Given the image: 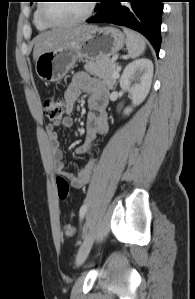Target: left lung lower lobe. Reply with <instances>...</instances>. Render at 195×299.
<instances>
[{"label":"left lung lower lobe","mask_w":195,"mask_h":299,"mask_svg":"<svg viewBox=\"0 0 195 299\" xmlns=\"http://www.w3.org/2000/svg\"><path fill=\"white\" fill-rule=\"evenodd\" d=\"M97 14L88 23H112L143 34L157 54L161 44V16L164 0H99Z\"/></svg>","instance_id":"left-lung-lower-lobe-1"}]
</instances>
